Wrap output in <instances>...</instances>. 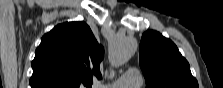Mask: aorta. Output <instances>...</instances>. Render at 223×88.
Masks as SVG:
<instances>
[{
	"label": "aorta",
	"instance_id": "762f6f07",
	"mask_svg": "<svg viewBox=\"0 0 223 88\" xmlns=\"http://www.w3.org/2000/svg\"><path fill=\"white\" fill-rule=\"evenodd\" d=\"M137 42L132 37L118 38L111 45L109 50V60L111 65L119 67L125 64L135 53Z\"/></svg>",
	"mask_w": 223,
	"mask_h": 88
}]
</instances>
